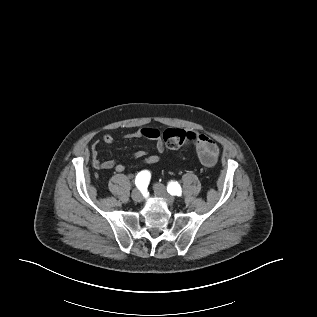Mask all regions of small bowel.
Returning a JSON list of instances; mask_svg holds the SVG:
<instances>
[{
  "label": "small bowel",
  "instance_id": "c3829d8e",
  "mask_svg": "<svg viewBox=\"0 0 317 317\" xmlns=\"http://www.w3.org/2000/svg\"><path fill=\"white\" fill-rule=\"evenodd\" d=\"M196 138L193 140L195 151L205 166H213L219 155L218 144L205 134L193 132ZM127 139L133 138H145L155 142V147L158 153H162L165 150V145L161 139L160 132L154 128H140L134 132L124 135ZM102 141L106 145L114 143V137L111 134H105L102 137ZM100 151L98 144H95L91 150L92 166L97 170H110L113 169L117 173H122L125 170V166L117 160H101L99 157ZM133 158L142 160L145 164L151 165L160 161V156L153 154L148 155L145 150H137L133 153Z\"/></svg>",
  "mask_w": 317,
  "mask_h": 317
}]
</instances>
